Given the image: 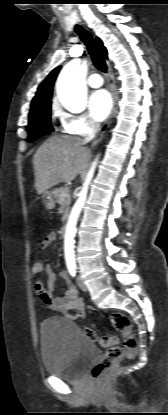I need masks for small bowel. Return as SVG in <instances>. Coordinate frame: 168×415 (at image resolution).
Segmentation results:
<instances>
[{"mask_svg": "<svg viewBox=\"0 0 168 415\" xmlns=\"http://www.w3.org/2000/svg\"><path fill=\"white\" fill-rule=\"evenodd\" d=\"M56 240V234L54 232L49 233L45 239L41 242L40 248L48 249ZM43 276H47V284L34 283V288L39 297L48 305V307L56 312L61 313L65 317L71 320H77L84 318L86 315L83 299L80 297L78 290L73 285L67 271H61L59 277L63 280L67 286V290L63 295L54 297L52 292L54 284L56 282V274L49 263H46L43 267ZM71 311H74L72 313Z\"/></svg>", "mask_w": 168, "mask_h": 415, "instance_id": "small-bowel-1", "label": "small bowel"}]
</instances>
